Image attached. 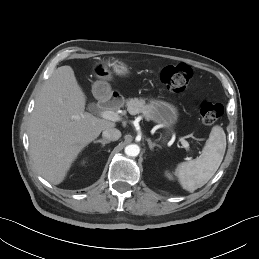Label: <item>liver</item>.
<instances>
[{"label": "liver", "instance_id": "6515ba94", "mask_svg": "<svg viewBox=\"0 0 259 259\" xmlns=\"http://www.w3.org/2000/svg\"><path fill=\"white\" fill-rule=\"evenodd\" d=\"M86 96L70 66L58 67L43 85L29 122L30 154L40 175L63 182L78 154L115 122L85 112Z\"/></svg>", "mask_w": 259, "mask_h": 259}]
</instances>
